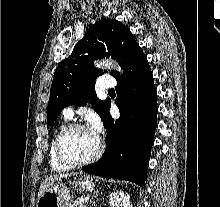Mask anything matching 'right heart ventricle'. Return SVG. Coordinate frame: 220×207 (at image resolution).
<instances>
[{
	"instance_id": "obj_1",
	"label": "right heart ventricle",
	"mask_w": 220,
	"mask_h": 207,
	"mask_svg": "<svg viewBox=\"0 0 220 207\" xmlns=\"http://www.w3.org/2000/svg\"><path fill=\"white\" fill-rule=\"evenodd\" d=\"M67 119H68V118H65V120H67ZM64 126H66L65 123H62V124L58 127V129H57V131H56V133H55V135H54V137H53V139H52V142H51V144H50V148H49V164H50V167H51L54 171H62V170H66V169H67V167L63 166L62 164H60V163L58 162V160L56 159V156H55V152H54V142H55V138H56V136L58 135V133L62 130V128H63Z\"/></svg>"
}]
</instances>
